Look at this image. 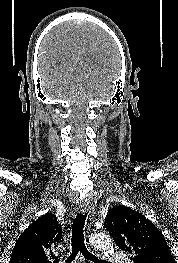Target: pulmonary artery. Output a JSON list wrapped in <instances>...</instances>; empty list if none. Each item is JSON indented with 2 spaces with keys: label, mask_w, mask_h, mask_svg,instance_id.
Wrapping results in <instances>:
<instances>
[{
  "label": "pulmonary artery",
  "mask_w": 178,
  "mask_h": 263,
  "mask_svg": "<svg viewBox=\"0 0 178 263\" xmlns=\"http://www.w3.org/2000/svg\"><path fill=\"white\" fill-rule=\"evenodd\" d=\"M113 260L116 261L117 263H130V260L120 253H114Z\"/></svg>",
  "instance_id": "e3ab8cb5"
}]
</instances>
